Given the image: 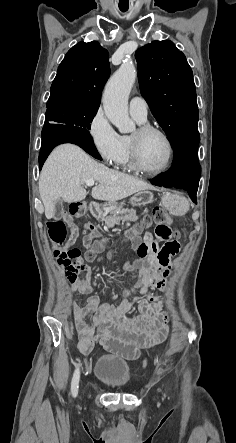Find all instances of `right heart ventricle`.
Instances as JSON below:
<instances>
[{
    "label": "right heart ventricle",
    "instance_id": "e07e8e85",
    "mask_svg": "<svg viewBox=\"0 0 236 443\" xmlns=\"http://www.w3.org/2000/svg\"><path fill=\"white\" fill-rule=\"evenodd\" d=\"M137 122H139L140 124H143L145 121L137 120ZM121 138H122L124 152H123V157H122L119 165L125 170H129V171L134 170L135 168L133 166L132 157H131L130 136L124 135V136H121Z\"/></svg>",
    "mask_w": 236,
    "mask_h": 443
}]
</instances>
